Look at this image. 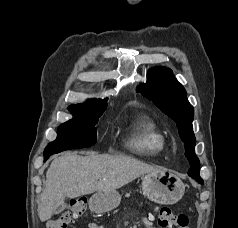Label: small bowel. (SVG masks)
<instances>
[{
	"mask_svg": "<svg viewBox=\"0 0 238 228\" xmlns=\"http://www.w3.org/2000/svg\"><path fill=\"white\" fill-rule=\"evenodd\" d=\"M143 222H144L146 228H156L153 224V217L152 216L144 217ZM89 228H104V227L99 225V224H96V223H91L89 225Z\"/></svg>",
	"mask_w": 238,
	"mask_h": 228,
	"instance_id": "c3829d8e",
	"label": "small bowel"
}]
</instances>
